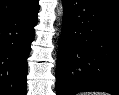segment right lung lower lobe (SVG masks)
Here are the masks:
<instances>
[{"instance_id": "1", "label": "right lung lower lobe", "mask_w": 119, "mask_h": 95, "mask_svg": "<svg viewBox=\"0 0 119 95\" xmlns=\"http://www.w3.org/2000/svg\"><path fill=\"white\" fill-rule=\"evenodd\" d=\"M39 4L0 21V95H26L27 58Z\"/></svg>"}]
</instances>
